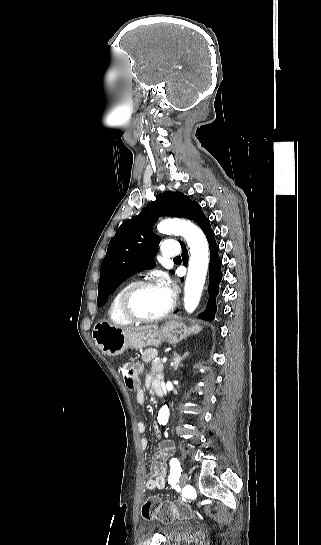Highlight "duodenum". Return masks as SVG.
<instances>
[{"label": "duodenum", "instance_id": "duodenum-1", "mask_svg": "<svg viewBox=\"0 0 321 545\" xmlns=\"http://www.w3.org/2000/svg\"><path fill=\"white\" fill-rule=\"evenodd\" d=\"M157 394L161 395V394H162V392H161L160 390H157Z\"/></svg>", "mask_w": 321, "mask_h": 545}]
</instances>
